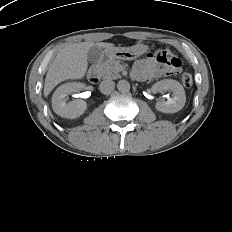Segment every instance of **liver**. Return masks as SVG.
Instances as JSON below:
<instances>
[{"label":"liver","mask_w":232,"mask_h":232,"mask_svg":"<svg viewBox=\"0 0 232 232\" xmlns=\"http://www.w3.org/2000/svg\"><path fill=\"white\" fill-rule=\"evenodd\" d=\"M93 46L104 51L115 48L112 43L105 42H81L69 44L57 53L53 62L49 65L44 84V96L47 97L50 92L61 82L65 80L82 79L88 68L87 53Z\"/></svg>","instance_id":"6515ba94"}]
</instances>
